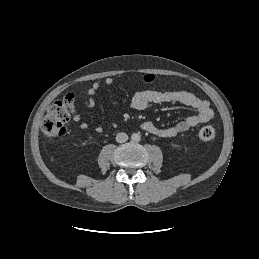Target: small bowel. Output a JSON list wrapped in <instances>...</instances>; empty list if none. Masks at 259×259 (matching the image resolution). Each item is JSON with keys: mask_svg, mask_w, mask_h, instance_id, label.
<instances>
[{"mask_svg": "<svg viewBox=\"0 0 259 259\" xmlns=\"http://www.w3.org/2000/svg\"><path fill=\"white\" fill-rule=\"evenodd\" d=\"M106 86H112L114 80L110 77L104 80ZM100 89V83L94 82L89 88V97L85 100V105L89 108L95 106L94 96ZM162 103H179L189 106L196 110L195 114L186 117L184 120L168 127H158L150 121H145L141 124V128L153 135L162 138L175 137L190 128H193L201 123H206L214 117V112L208 101L201 99L195 94L183 91V90H171V91H151L144 90L136 92L132 99L131 105L136 110H145L151 104ZM73 120L80 125L82 129H88V123L82 121L81 117L74 110L72 113ZM100 126L96 127L97 132H101Z\"/></svg>", "mask_w": 259, "mask_h": 259, "instance_id": "c3829d8e", "label": "small bowel"}]
</instances>
